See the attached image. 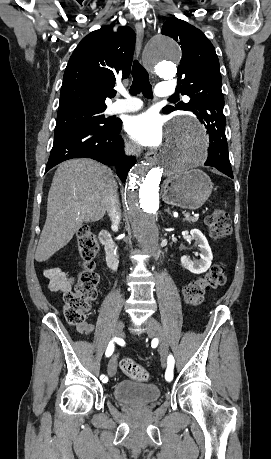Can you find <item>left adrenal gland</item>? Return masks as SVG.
Masks as SVG:
<instances>
[{"mask_svg": "<svg viewBox=\"0 0 271 459\" xmlns=\"http://www.w3.org/2000/svg\"><path fill=\"white\" fill-rule=\"evenodd\" d=\"M165 212H168V214H171L170 208H167V210H165Z\"/></svg>", "mask_w": 271, "mask_h": 459, "instance_id": "1", "label": "left adrenal gland"}]
</instances>
